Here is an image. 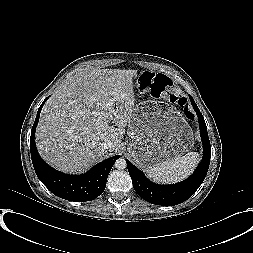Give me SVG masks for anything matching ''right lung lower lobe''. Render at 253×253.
<instances>
[{
    "label": "right lung lower lobe",
    "instance_id": "obj_1",
    "mask_svg": "<svg viewBox=\"0 0 253 253\" xmlns=\"http://www.w3.org/2000/svg\"><path fill=\"white\" fill-rule=\"evenodd\" d=\"M47 99L39 107L31 130L30 152L35 172L39 180L58 197L76 202L93 200L103 193L109 172L120 156L110 157L82 175L65 174L47 165L38 154L34 140L40 112Z\"/></svg>",
    "mask_w": 253,
    "mask_h": 253
}]
</instances>
